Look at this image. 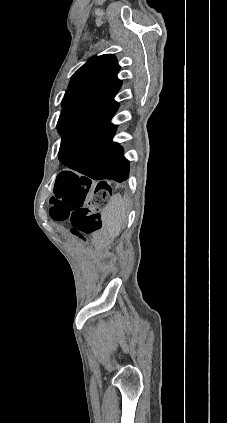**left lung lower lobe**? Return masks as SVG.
Listing matches in <instances>:
<instances>
[{
    "label": "left lung lower lobe",
    "mask_w": 227,
    "mask_h": 423,
    "mask_svg": "<svg viewBox=\"0 0 227 423\" xmlns=\"http://www.w3.org/2000/svg\"><path fill=\"white\" fill-rule=\"evenodd\" d=\"M113 115L89 123L80 131L64 137L59 154L61 163L95 180H126L129 162L123 157L122 147L112 143L116 131V127L110 123ZM63 173L80 180L71 172Z\"/></svg>",
    "instance_id": "obj_1"
}]
</instances>
